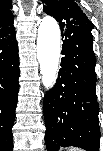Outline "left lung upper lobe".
Segmentation results:
<instances>
[{"label":"left lung upper lobe","mask_w":103,"mask_h":151,"mask_svg":"<svg viewBox=\"0 0 103 151\" xmlns=\"http://www.w3.org/2000/svg\"><path fill=\"white\" fill-rule=\"evenodd\" d=\"M44 12L53 16L60 25L61 31L69 26L92 30L93 24L81 8L72 0H42Z\"/></svg>","instance_id":"obj_1"}]
</instances>
